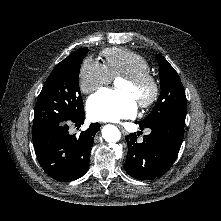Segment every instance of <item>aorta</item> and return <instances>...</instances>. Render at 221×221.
Instances as JSON below:
<instances>
[{
	"instance_id": "obj_1",
	"label": "aorta",
	"mask_w": 221,
	"mask_h": 221,
	"mask_svg": "<svg viewBox=\"0 0 221 221\" xmlns=\"http://www.w3.org/2000/svg\"><path fill=\"white\" fill-rule=\"evenodd\" d=\"M102 137L109 143L117 142L121 138V133L114 125H106L102 129Z\"/></svg>"
}]
</instances>
